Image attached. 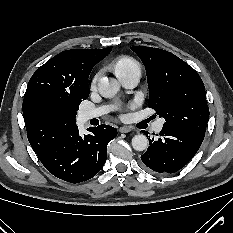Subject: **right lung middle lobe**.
Returning <instances> with one entry per match:
<instances>
[{"instance_id":"obj_1","label":"right lung middle lobe","mask_w":233,"mask_h":233,"mask_svg":"<svg viewBox=\"0 0 233 233\" xmlns=\"http://www.w3.org/2000/svg\"><path fill=\"white\" fill-rule=\"evenodd\" d=\"M88 97L84 98L87 99ZM82 99L71 102H46L41 109L44 120L59 125H75L76 112Z\"/></svg>"}]
</instances>
